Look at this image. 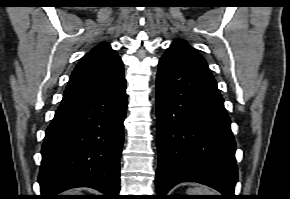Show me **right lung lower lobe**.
I'll return each mask as SVG.
<instances>
[{
	"label": "right lung lower lobe",
	"mask_w": 290,
	"mask_h": 199,
	"mask_svg": "<svg viewBox=\"0 0 290 199\" xmlns=\"http://www.w3.org/2000/svg\"><path fill=\"white\" fill-rule=\"evenodd\" d=\"M127 109L126 85L62 102L46 129L38 182L40 199H62L70 188L90 187L117 199Z\"/></svg>",
	"instance_id": "1"
}]
</instances>
